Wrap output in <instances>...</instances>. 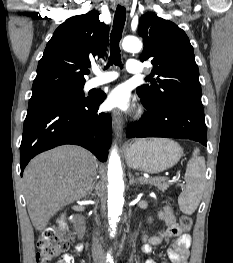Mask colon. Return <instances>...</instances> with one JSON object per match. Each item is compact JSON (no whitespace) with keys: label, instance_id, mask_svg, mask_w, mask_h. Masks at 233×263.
I'll use <instances>...</instances> for the list:
<instances>
[{"label":"colon","instance_id":"obj_1","mask_svg":"<svg viewBox=\"0 0 233 263\" xmlns=\"http://www.w3.org/2000/svg\"><path fill=\"white\" fill-rule=\"evenodd\" d=\"M179 224L184 231L192 227V218L182 215ZM72 240L68 236L60 234L56 230L45 231L37 242V263H49L54 258L65 253L71 246Z\"/></svg>","mask_w":233,"mask_h":263}]
</instances>
